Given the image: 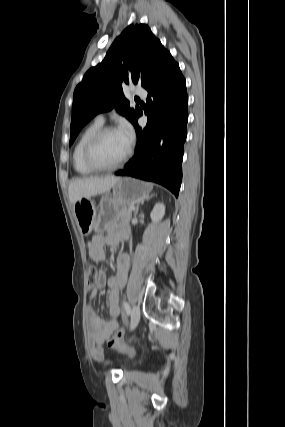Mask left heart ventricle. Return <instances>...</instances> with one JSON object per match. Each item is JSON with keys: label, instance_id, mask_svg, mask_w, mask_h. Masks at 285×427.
Here are the masks:
<instances>
[{"label": "left heart ventricle", "instance_id": "obj_1", "mask_svg": "<svg viewBox=\"0 0 285 427\" xmlns=\"http://www.w3.org/2000/svg\"><path fill=\"white\" fill-rule=\"evenodd\" d=\"M129 144L118 131L108 133L98 145L95 157L101 164H112L127 152Z\"/></svg>", "mask_w": 285, "mask_h": 427}]
</instances>
